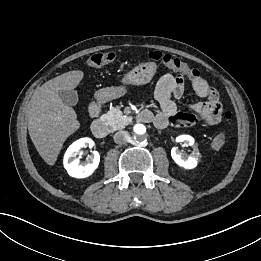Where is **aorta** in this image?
I'll return each mask as SVG.
<instances>
[{
    "label": "aorta",
    "instance_id": "obj_1",
    "mask_svg": "<svg viewBox=\"0 0 261 261\" xmlns=\"http://www.w3.org/2000/svg\"><path fill=\"white\" fill-rule=\"evenodd\" d=\"M133 134L138 140L144 139L146 135V127L142 124H136L133 127Z\"/></svg>",
    "mask_w": 261,
    "mask_h": 261
}]
</instances>
